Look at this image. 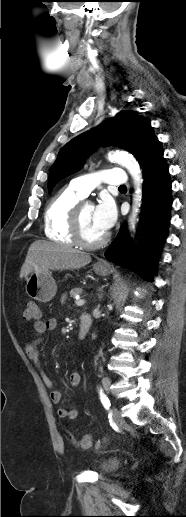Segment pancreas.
<instances>
[{
    "label": "pancreas",
    "instance_id": "cf45deb5",
    "mask_svg": "<svg viewBox=\"0 0 186 517\" xmlns=\"http://www.w3.org/2000/svg\"><path fill=\"white\" fill-rule=\"evenodd\" d=\"M83 292L82 288H73L70 291V296L75 297L77 294H81Z\"/></svg>",
    "mask_w": 186,
    "mask_h": 517
}]
</instances>
